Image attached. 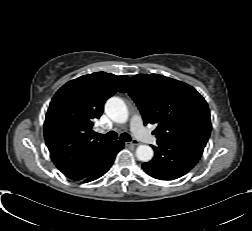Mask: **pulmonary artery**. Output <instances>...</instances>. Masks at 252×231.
Listing matches in <instances>:
<instances>
[{"instance_id": "pulmonary-artery-1", "label": "pulmonary artery", "mask_w": 252, "mask_h": 231, "mask_svg": "<svg viewBox=\"0 0 252 231\" xmlns=\"http://www.w3.org/2000/svg\"><path fill=\"white\" fill-rule=\"evenodd\" d=\"M129 125L131 131L139 140L148 144L156 141V138L143 126L142 119L139 115L132 116Z\"/></svg>"}]
</instances>
